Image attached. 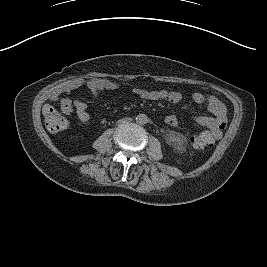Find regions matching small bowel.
<instances>
[{
	"label": "small bowel",
	"instance_id": "obj_1",
	"mask_svg": "<svg viewBox=\"0 0 267 267\" xmlns=\"http://www.w3.org/2000/svg\"><path fill=\"white\" fill-rule=\"evenodd\" d=\"M86 84L91 95L98 97L104 89H112L118 87V84L112 81H107L99 78H92L87 81H70L63 88V93H70L79 86ZM134 93L143 100H165L170 103H179L183 95L179 91L156 89L148 91L142 88H135ZM191 100L197 105H204L207 107L211 116H196L193 121L208 130L200 132L201 135L206 136L210 143L219 140L222 137L223 131L227 124L226 108L224 104L215 96L204 94L201 92H194L191 95ZM61 110L65 114H70L73 108L76 111L77 117L81 122H88L90 120V113L88 111L87 103L82 96L74 98L73 102L68 98H62L60 100ZM165 123L168 126L175 127L178 125V119L174 115H168L165 118Z\"/></svg>",
	"mask_w": 267,
	"mask_h": 267
}]
</instances>
